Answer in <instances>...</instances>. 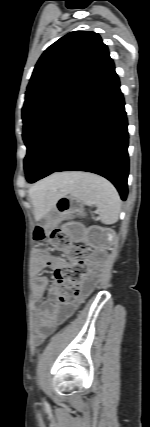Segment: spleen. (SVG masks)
Returning a JSON list of instances; mask_svg holds the SVG:
<instances>
[{"label":"spleen","instance_id":"spleen-1","mask_svg":"<svg viewBox=\"0 0 150 427\" xmlns=\"http://www.w3.org/2000/svg\"><path fill=\"white\" fill-rule=\"evenodd\" d=\"M65 193H70L87 206L97 207L103 224L118 221L121 210L120 196L115 187L105 178L90 173H69Z\"/></svg>","mask_w":150,"mask_h":427}]
</instances>
